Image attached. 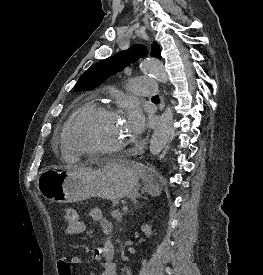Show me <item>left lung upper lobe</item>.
Wrapping results in <instances>:
<instances>
[{"label": "left lung upper lobe", "instance_id": "5c2ea615", "mask_svg": "<svg viewBox=\"0 0 263 275\" xmlns=\"http://www.w3.org/2000/svg\"><path fill=\"white\" fill-rule=\"evenodd\" d=\"M146 55V48L142 45H136L127 51H122L115 56L100 61L85 71L76 83L75 90L94 89L101 85L110 75L121 71L125 66ZM151 56L161 58L160 48L157 43L152 44Z\"/></svg>", "mask_w": 263, "mask_h": 275}]
</instances>
